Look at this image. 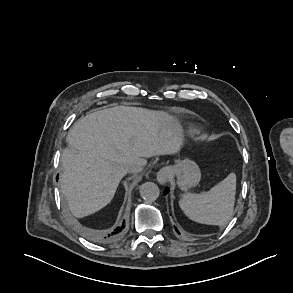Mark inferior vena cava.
I'll use <instances>...</instances> for the list:
<instances>
[{
  "label": "inferior vena cava",
  "mask_w": 293,
  "mask_h": 293,
  "mask_svg": "<svg viewBox=\"0 0 293 293\" xmlns=\"http://www.w3.org/2000/svg\"><path fill=\"white\" fill-rule=\"evenodd\" d=\"M141 168V162H137V163H134V164H131L129 167H128V170L130 172H137L139 171Z\"/></svg>",
  "instance_id": "inferior-vena-cava-1"
}]
</instances>
